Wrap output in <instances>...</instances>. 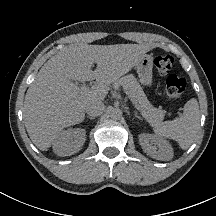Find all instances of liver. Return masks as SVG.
<instances>
[{"label":"liver","instance_id":"6515ba94","mask_svg":"<svg viewBox=\"0 0 216 216\" xmlns=\"http://www.w3.org/2000/svg\"><path fill=\"white\" fill-rule=\"evenodd\" d=\"M151 47L148 44H71L52 56L29 86L24 123L32 142L47 151L66 127L84 120L91 101H103L109 86L128 73ZM97 68L93 71L92 65ZM96 80L81 91L74 83Z\"/></svg>","mask_w":216,"mask_h":216}]
</instances>
